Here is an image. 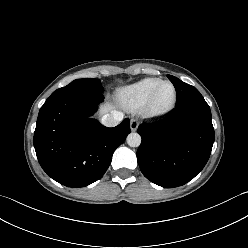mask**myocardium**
I'll list each match as a JSON object with an SVG mask.
<instances>
[{
	"label": "myocardium",
	"instance_id": "obj_1",
	"mask_svg": "<svg viewBox=\"0 0 248 248\" xmlns=\"http://www.w3.org/2000/svg\"><path fill=\"white\" fill-rule=\"evenodd\" d=\"M163 85H170L173 88V99L167 107H165L163 109H155L154 105H153L154 100H155V97H156L159 89ZM177 97H178V93H177L176 86L169 80H163L159 84H157L153 88V90L150 92V94L146 98L144 104L142 105V111L147 117H151V118H157V117L165 116V115L169 114L175 108L176 103H177Z\"/></svg>",
	"mask_w": 248,
	"mask_h": 248
}]
</instances>
